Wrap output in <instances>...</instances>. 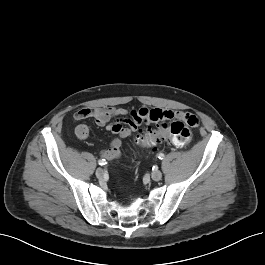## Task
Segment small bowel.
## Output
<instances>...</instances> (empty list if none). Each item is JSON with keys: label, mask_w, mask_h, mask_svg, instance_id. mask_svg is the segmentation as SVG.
I'll return each instance as SVG.
<instances>
[{"label": "small bowel", "mask_w": 265, "mask_h": 265, "mask_svg": "<svg viewBox=\"0 0 265 265\" xmlns=\"http://www.w3.org/2000/svg\"><path fill=\"white\" fill-rule=\"evenodd\" d=\"M148 111L145 108L128 111L125 108L100 107L96 109L82 108L74 113V121H80L89 117L94 118L98 126L105 127L107 131L115 135L109 147L101 151V156L111 160L121 156L122 141L129 138L137 129L149 123ZM167 118H177L187 122L189 117L194 116L187 111H163ZM195 117V116H194ZM78 139L85 140L89 136L87 125L80 124L75 129Z\"/></svg>", "instance_id": "small-bowel-1"}]
</instances>
